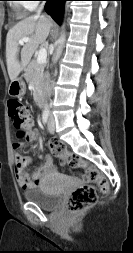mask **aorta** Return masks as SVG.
Returning a JSON list of instances; mask_svg holds the SVG:
<instances>
[{
    "label": "aorta",
    "instance_id": "aorta-1",
    "mask_svg": "<svg viewBox=\"0 0 133 253\" xmlns=\"http://www.w3.org/2000/svg\"><path fill=\"white\" fill-rule=\"evenodd\" d=\"M64 42H65V33L62 32L61 36L58 40V47L55 52L54 62H56L59 59V57L62 53V50H63ZM45 111H47V106H45Z\"/></svg>",
    "mask_w": 133,
    "mask_h": 253
}]
</instances>
